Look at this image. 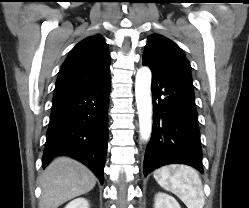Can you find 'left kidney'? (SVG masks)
<instances>
[{
    "label": "left kidney",
    "mask_w": 249,
    "mask_h": 208,
    "mask_svg": "<svg viewBox=\"0 0 249 208\" xmlns=\"http://www.w3.org/2000/svg\"><path fill=\"white\" fill-rule=\"evenodd\" d=\"M154 208H181L176 199L166 193H158L155 196Z\"/></svg>",
    "instance_id": "left-kidney-1"
}]
</instances>
